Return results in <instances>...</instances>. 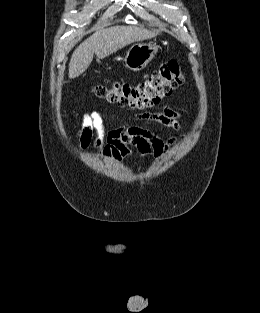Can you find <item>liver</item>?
Instances as JSON below:
<instances>
[{
  "label": "liver",
  "instance_id": "6515ba94",
  "mask_svg": "<svg viewBox=\"0 0 260 313\" xmlns=\"http://www.w3.org/2000/svg\"><path fill=\"white\" fill-rule=\"evenodd\" d=\"M158 31L132 26H113L96 31L73 52L69 63V78H76L90 66L94 54L103 59L135 42L151 39Z\"/></svg>",
  "mask_w": 260,
  "mask_h": 313
}]
</instances>
